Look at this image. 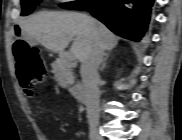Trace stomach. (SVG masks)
<instances>
[{"instance_id":"obj_1","label":"stomach","mask_w":182,"mask_h":140,"mask_svg":"<svg viewBox=\"0 0 182 140\" xmlns=\"http://www.w3.org/2000/svg\"><path fill=\"white\" fill-rule=\"evenodd\" d=\"M12 30H23L24 26L23 25H12L11 26ZM27 32L26 31H14V36L16 41H29L30 43L35 42L32 40L31 36H26Z\"/></svg>"}]
</instances>
